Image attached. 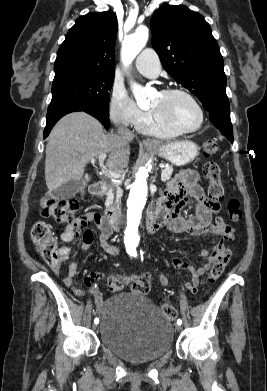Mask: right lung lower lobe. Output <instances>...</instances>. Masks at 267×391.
Returning a JSON list of instances; mask_svg holds the SVG:
<instances>
[{"mask_svg": "<svg viewBox=\"0 0 267 391\" xmlns=\"http://www.w3.org/2000/svg\"><path fill=\"white\" fill-rule=\"evenodd\" d=\"M75 111H84L97 118L106 129L109 128V113L95 107H88L81 104H67L56 108L50 112H47V122L46 127L44 129V138L49 135L51 129L61 117Z\"/></svg>", "mask_w": 267, "mask_h": 391, "instance_id": "1", "label": "right lung lower lobe"}]
</instances>
